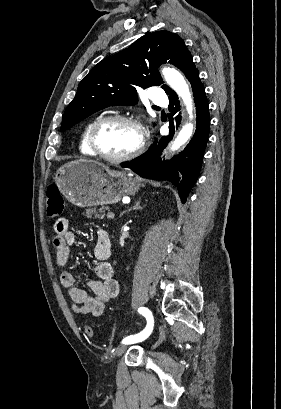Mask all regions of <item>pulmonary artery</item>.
Here are the masks:
<instances>
[{
	"instance_id": "pulmonary-artery-1",
	"label": "pulmonary artery",
	"mask_w": 281,
	"mask_h": 409,
	"mask_svg": "<svg viewBox=\"0 0 281 409\" xmlns=\"http://www.w3.org/2000/svg\"><path fill=\"white\" fill-rule=\"evenodd\" d=\"M153 91L151 92L152 100L155 103H167L168 102V95L163 94V88L159 86L157 82L152 84Z\"/></svg>"
}]
</instances>
